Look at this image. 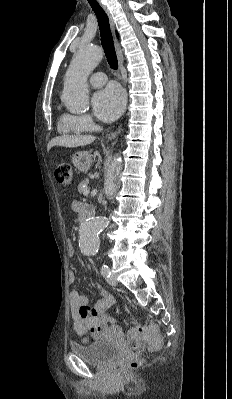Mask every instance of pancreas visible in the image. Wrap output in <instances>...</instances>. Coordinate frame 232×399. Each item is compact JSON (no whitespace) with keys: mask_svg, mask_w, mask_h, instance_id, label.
I'll return each mask as SVG.
<instances>
[{"mask_svg":"<svg viewBox=\"0 0 232 399\" xmlns=\"http://www.w3.org/2000/svg\"><path fill=\"white\" fill-rule=\"evenodd\" d=\"M88 184H89L88 178H87V180H84V182H81V184H79V186H78L79 194H83V192H85V190H87L86 186H88Z\"/></svg>","mask_w":232,"mask_h":399,"instance_id":"pancreas-1","label":"pancreas"}]
</instances>
